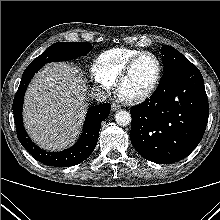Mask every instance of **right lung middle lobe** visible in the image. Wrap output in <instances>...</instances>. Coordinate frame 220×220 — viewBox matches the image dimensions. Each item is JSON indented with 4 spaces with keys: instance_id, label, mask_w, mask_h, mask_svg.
<instances>
[{
    "instance_id": "dd1d6c3e",
    "label": "right lung middle lobe",
    "mask_w": 220,
    "mask_h": 220,
    "mask_svg": "<svg viewBox=\"0 0 220 220\" xmlns=\"http://www.w3.org/2000/svg\"><path fill=\"white\" fill-rule=\"evenodd\" d=\"M91 50L90 43L85 42H57L48 47L29 66L42 67L44 64L56 61L76 59Z\"/></svg>"
}]
</instances>
